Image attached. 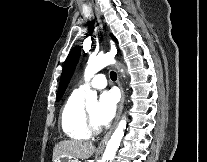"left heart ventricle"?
Listing matches in <instances>:
<instances>
[{
  "label": "left heart ventricle",
  "mask_w": 207,
  "mask_h": 162,
  "mask_svg": "<svg viewBox=\"0 0 207 162\" xmlns=\"http://www.w3.org/2000/svg\"><path fill=\"white\" fill-rule=\"evenodd\" d=\"M87 109H88L92 119L94 120V122L99 125L97 118H96L98 105L93 104V105L89 106Z\"/></svg>",
  "instance_id": "obj_1"
}]
</instances>
